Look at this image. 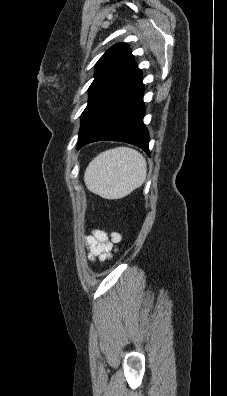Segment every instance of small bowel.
I'll return each instance as SVG.
<instances>
[{
  "mask_svg": "<svg viewBox=\"0 0 227 396\" xmlns=\"http://www.w3.org/2000/svg\"><path fill=\"white\" fill-rule=\"evenodd\" d=\"M121 236L118 233H112L111 237L106 232L95 229L86 237V246L88 250V259L104 261L109 258L114 246L119 243Z\"/></svg>",
  "mask_w": 227,
  "mask_h": 396,
  "instance_id": "small-bowel-1",
  "label": "small bowel"
}]
</instances>
